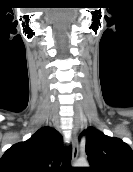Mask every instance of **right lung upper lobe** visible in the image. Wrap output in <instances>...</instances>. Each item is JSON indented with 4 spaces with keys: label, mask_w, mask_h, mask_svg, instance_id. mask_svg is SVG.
<instances>
[{
    "label": "right lung upper lobe",
    "mask_w": 133,
    "mask_h": 172,
    "mask_svg": "<svg viewBox=\"0 0 133 172\" xmlns=\"http://www.w3.org/2000/svg\"><path fill=\"white\" fill-rule=\"evenodd\" d=\"M62 153V136L54 128L43 127L4 153L0 172H58Z\"/></svg>",
    "instance_id": "cb5924a9"
}]
</instances>
